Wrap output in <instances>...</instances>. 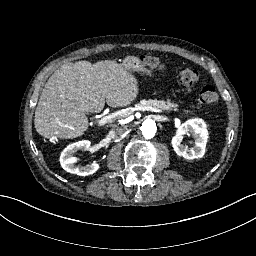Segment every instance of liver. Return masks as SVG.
Here are the masks:
<instances>
[{
    "label": "liver",
    "instance_id": "6515ba94",
    "mask_svg": "<svg viewBox=\"0 0 256 256\" xmlns=\"http://www.w3.org/2000/svg\"><path fill=\"white\" fill-rule=\"evenodd\" d=\"M139 93L137 77L117 60L67 62L50 76L42 90L35 110V129L47 139L81 137L88 129L87 116L100 112L104 99L112 108H124L131 106Z\"/></svg>",
    "mask_w": 256,
    "mask_h": 256
}]
</instances>
